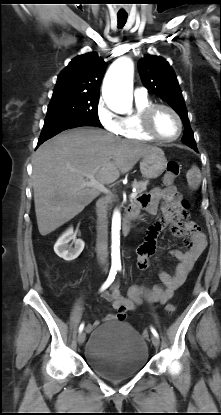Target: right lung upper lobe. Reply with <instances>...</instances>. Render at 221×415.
<instances>
[{
	"label": "right lung upper lobe",
	"instance_id": "right-lung-upper-lobe-1",
	"mask_svg": "<svg viewBox=\"0 0 221 415\" xmlns=\"http://www.w3.org/2000/svg\"><path fill=\"white\" fill-rule=\"evenodd\" d=\"M106 66L95 52L75 57L58 75L53 94L78 92L99 95Z\"/></svg>",
	"mask_w": 221,
	"mask_h": 415
}]
</instances>
